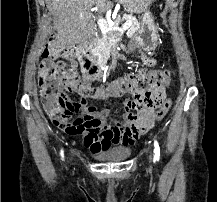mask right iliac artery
Returning <instances> with one entry per match:
<instances>
[{"instance_id": "1", "label": "right iliac artery", "mask_w": 217, "mask_h": 202, "mask_svg": "<svg viewBox=\"0 0 217 202\" xmlns=\"http://www.w3.org/2000/svg\"><path fill=\"white\" fill-rule=\"evenodd\" d=\"M61 156L64 157L63 150H61Z\"/></svg>"}]
</instances>
